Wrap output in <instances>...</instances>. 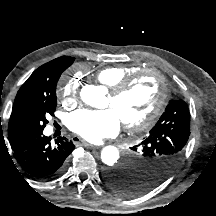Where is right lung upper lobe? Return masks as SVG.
<instances>
[{
    "label": "right lung upper lobe",
    "mask_w": 216,
    "mask_h": 216,
    "mask_svg": "<svg viewBox=\"0 0 216 216\" xmlns=\"http://www.w3.org/2000/svg\"><path fill=\"white\" fill-rule=\"evenodd\" d=\"M68 62H74V58L62 56L45 63L36 69L21 86L16 95L9 121L8 133L10 140H13L19 135L14 127L18 114L36 94L49 89L56 81H58L61 73V66Z\"/></svg>",
    "instance_id": "right-lung-upper-lobe-1"
}]
</instances>
